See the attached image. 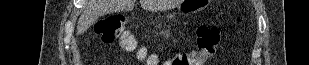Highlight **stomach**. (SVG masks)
Masks as SVG:
<instances>
[{"label": "stomach", "mask_w": 309, "mask_h": 65, "mask_svg": "<svg viewBox=\"0 0 309 65\" xmlns=\"http://www.w3.org/2000/svg\"><path fill=\"white\" fill-rule=\"evenodd\" d=\"M207 4V1L198 0H185L180 7V12L182 13H195L203 9Z\"/></svg>", "instance_id": "1"}]
</instances>
